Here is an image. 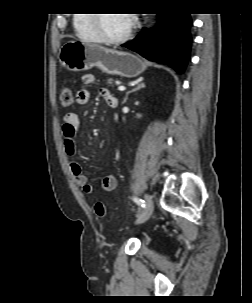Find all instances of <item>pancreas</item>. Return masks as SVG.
<instances>
[{"instance_id":"obj_1","label":"pancreas","mask_w":252,"mask_h":303,"mask_svg":"<svg viewBox=\"0 0 252 303\" xmlns=\"http://www.w3.org/2000/svg\"><path fill=\"white\" fill-rule=\"evenodd\" d=\"M107 83H108V84H112V83H113V79H112V78H109V79L107 80Z\"/></svg>"}]
</instances>
